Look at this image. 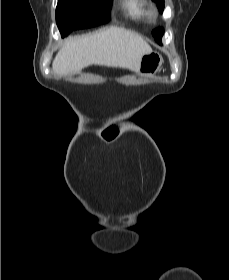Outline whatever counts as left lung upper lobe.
Returning a JSON list of instances; mask_svg holds the SVG:
<instances>
[{
    "instance_id": "5c2ea615",
    "label": "left lung upper lobe",
    "mask_w": 229,
    "mask_h": 280,
    "mask_svg": "<svg viewBox=\"0 0 229 280\" xmlns=\"http://www.w3.org/2000/svg\"><path fill=\"white\" fill-rule=\"evenodd\" d=\"M154 2H157L158 9L160 12H163L164 9V0H153ZM164 34V29L162 27L156 28L152 31V35L154 36L155 40L161 44V38Z\"/></svg>"
}]
</instances>
